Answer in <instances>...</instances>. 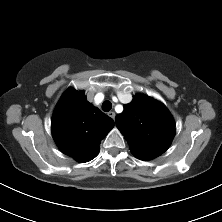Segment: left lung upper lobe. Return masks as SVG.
I'll use <instances>...</instances> for the list:
<instances>
[{"label": "left lung upper lobe", "mask_w": 222, "mask_h": 222, "mask_svg": "<svg viewBox=\"0 0 222 222\" xmlns=\"http://www.w3.org/2000/svg\"><path fill=\"white\" fill-rule=\"evenodd\" d=\"M118 129L126 138L131 153L141 160L161 155L175 135V122L164 104L146 95H136L116 116Z\"/></svg>", "instance_id": "1"}]
</instances>
